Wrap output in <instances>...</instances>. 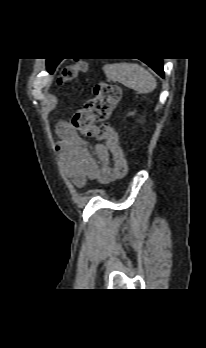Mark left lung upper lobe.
<instances>
[{
  "label": "left lung upper lobe",
  "mask_w": 206,
  "mask_h": 348,
  "mask_svg": "<svg viewBox=\"0 0 206 348\" xmlns=\"http://www.w3.org/2000/svg\"><path fill=\"white\" fill-rule=\"evenodd\" d=\"M59 63V61L56 60H47V70L52 73L55 69V67L57 66V64Z\"/></svg>",
  "instance_id": "left-lung-upper-lobe-1"
}]
</instances>
